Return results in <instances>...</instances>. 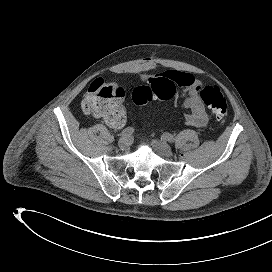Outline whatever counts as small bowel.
<instances>
[{
  "mask_svg": "<svg viewBox=\"0 0 272 272\" xmlns=\"http://www.w3.org/2000/svg\"><path fill=\"white\" fill-rule=\"evenodd\" d=\"M159 77L170 79L177 87L182 89V107L186 111L185 122L194 127H206L210 118L199 95V88L204 82L191 74L179 71H167L160 74ZM152 79L150 76H143L145 81ZM121 100L122 98L119 101L118 113L113 118L105 119L106 123L113 128H120L126 122V115L121 107Z\"/></svg>",
  "mask_w": 272,
  "mask_h": 272,
  "instance_id": "c3829d8e",
  "label": "small bowel"
}]
</instances>
